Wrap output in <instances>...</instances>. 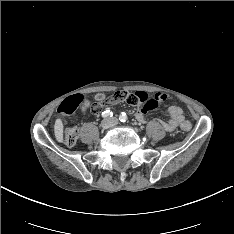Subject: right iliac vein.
Wrapping results in <instances>:
<instances>
[{
  "instance_id": "63e3f726",
  "label": "right iliac vein",
  "mask_w": 234,
  "mask_h": 234,
  "mask_svg": "<svg viewBox=\"0 0 234 234\" xmlns=\"http://www.w3.org/2000/svg\"><path fill=\"white\" fill-rule=\"evenodd\" d=\"M101 125H102V127L104 129H107V128H109L111 126V121L110 120H104Z\"/></svg>"
}]
</instances>
